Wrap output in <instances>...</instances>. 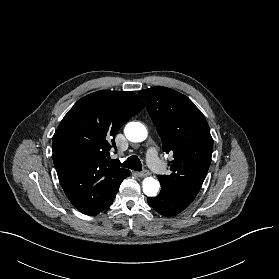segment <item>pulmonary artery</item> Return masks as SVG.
<instances>
[{"label": "pulmonary artery", "mask_w": 279, "mask_h": 279, "mask_svg": "<svg viewBox=\"0 0 279 279\" xmlns=\"http://www.w3.org/2000/svg\"><path fill=\"white\" fill-rule=\"evenodd\" d=\"M147 161H148V164L149 166L158 171L160 170L161 168V163H160V160L158 158V155H157V151L155 148L151 147L148 149L147 151Z\"/></svg>", "instance_id": "obj_1"}]
</instances>
